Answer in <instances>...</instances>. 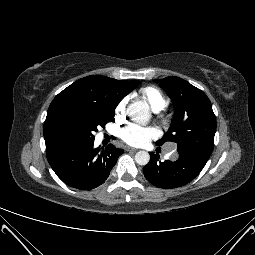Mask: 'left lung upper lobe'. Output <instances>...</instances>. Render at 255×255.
Instances as JSON below:
<instances>
[{"mask_svg": "<svg viewBox=\"0 0 255 255\" xmlns=\"http://www.w3.org/2000/svg\"><path fill=\"white\" fill-rule=\"evenodd\" d=\"M174 105V119L157 145L172 141L179 154L209 159L214 147L216 119L206 94L187 81L170 76L157 81Z\"/></svg>", "mask_w": 255, "mask_h": 255, "instance_id": "1", "label": "left lung upper lobe"}]
</instances>
